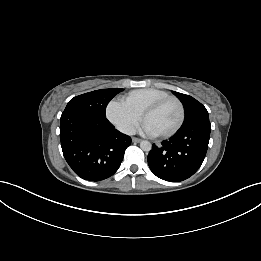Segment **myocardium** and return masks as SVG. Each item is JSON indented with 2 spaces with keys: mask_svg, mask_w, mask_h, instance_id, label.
Here are the masks:
<instances>
[{
  "mask_svg": "<svg viewBox=\"0 0 261 261\" xmlns=\"http://www.w3.org/2000/svg\"><path fill=\"white\" fill-rule=\"evenodd\" d=\"M169 101H173L178 105V108L180 111V116H179V120H178L177 124L171 130L157 134L160 137H170V136L174 135L176 132H178L179 129L182 127L184 120H185V108H184V105L181 102V100L175 96L169 95L167 97L154 101L153 103L148 105L142 112V119L144 120L148 114L157 110L159 107H161L163 104H165Z\"/></svg>",
  "mask_w": 261,
  "mask_h": 261,
  "instance_id": "f54148a6",
  "label": "myocardium"
}]
</instances>
